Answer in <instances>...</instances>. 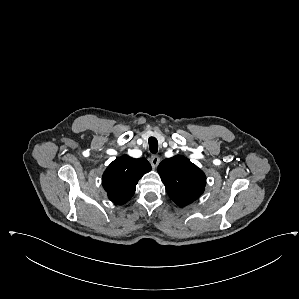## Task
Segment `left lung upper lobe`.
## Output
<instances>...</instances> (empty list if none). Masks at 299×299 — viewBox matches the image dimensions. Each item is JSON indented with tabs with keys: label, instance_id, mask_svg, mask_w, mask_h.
<instances>
[{
	"label": "left lung upper lobe",
	"instance_id": "obj_1",
	"mask_svg": "<svg viewBox=\"0 0 299 299\" xmlns=\"http://www.w3.org/2000/svg\"><path fill=\"white\" fill-rule=\"evenodd\" d=\"M157 171L169 197L180 207L192 203L204 192V172L181 155L163 160Z\"/></svg>",
	"mask_w": 299,
	"mask_h": 299
}]
</instances>
